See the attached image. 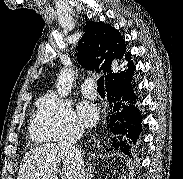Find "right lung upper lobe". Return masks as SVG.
Wrapping results in <instances>:
<instances>
[{
	"label": "right lung upper lobe",
	"mask_w": 183,
	"mask_h": 179,
	"mask_svg": "<svg viewBox=\"0 0 183 179\" xmlns=\"http://www.w3.org/2000/svg\"><path fill=\"white\" fill-rule=\"evenodd\" d=\"M84 35L78 43V63L89 70H102L105 73L106 84L119 78L124 73H114V59H121L126 47L124 39L118 30L103 22L86 21ZM131 55L127 53L128 71L134 66L130 61Z\"/></svg>",
	"instance_id": "obj_1"
}]
</instances>
